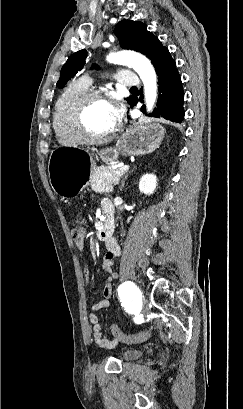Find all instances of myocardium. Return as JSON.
Masks as SVG:
<instances>
[{"mask_svg":"<svg viewBox=\"0 0 243 409\" xmlns=\"http://www.w3.org/2000/svg\"><path fill=\"white\" fill-rule=\"evenodd\" d=\"M92 101H105L113 106V98L108 92L87 89L71 100L67 110V120L70 128L80 141L97 143L111 137L115 133L116 127L114 126L110 131L100 135H93L87 131L83 121V114L86 106Z\"/></svg>","mask_w":243,"mask_h":409,"instance_id":"f54148a6","label":"myocardium"}]
</instances>
